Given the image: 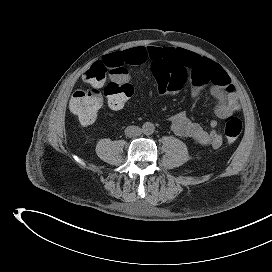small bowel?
Wrapping results in <instances>:
<instances>
[{
	"label": "small bowel",
	"instance_id": "c3829d8e",
	"mask_svg": "<svg viewBox=\"0 0 272 272\" xmlns=\"http://www.w3.org/2000/svg\"><path fill=\"white\" fill-rule=\"evenodd\" d=\"M150 62L157 80V93L161 96L179 93L189 79L191 99H197L203 88L210 86L215 102L214 111L218 118L224 119L240 111L241 103L235 86L226 71L206 57L182 48L171 47H133L110 53L99 63L109 67L141 65ZM126 69V68H125ZM116 78L115 75H112ZM128 78V72L125 75ZM217 121L210 122V130L192 121L184 112L171 118V129L179 136L212 148L223 143L222 135L217 131Z\"/></svg>",
	"mask_w": 272,
	"mask_h": 272
}]
</instances>
